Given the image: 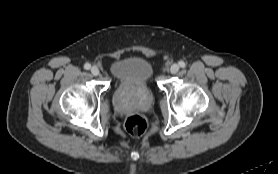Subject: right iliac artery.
<instances>
[{
	"mask_svg": "<svg viewBox=\"0 0 278 174\" xmlns=\"http://www.w3.org/2000/svg\"><path fill=\"white\" fill-rule=\"evenodd\" d=\"M84 68H85L86 70H89V69L91 68V65H90L89 63H86V64L84 65Z\"/></svg>",
	"mask_w": 278,
	"mask_h": 174,
	"instance_id": "1",
	"label": "right iliac artery"
}]
</instances>
